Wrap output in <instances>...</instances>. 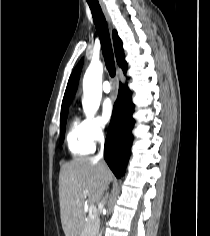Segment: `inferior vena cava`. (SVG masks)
<instances>
[{"label":"inferior vena cava","instance_id":"602c4592","mask_svg":"<svg viewBox=\"0 0 210 236\" xmlns=\"http://www.w3.org/2000/svg\"><path fill=\"white\" fill-rule=\"evenodd\" d=\"M103 156V139H102V141H101V150H100V152H99V154H98V157H102Z\"/></svg>","mask_w":210,"mask_h":236}]
</instances>
